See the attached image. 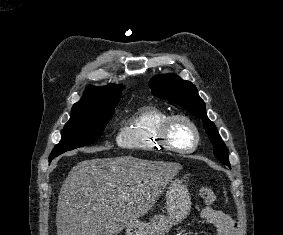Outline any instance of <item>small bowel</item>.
<instances>
[{"mask_svg": "<svg viewBox=\"0 0 283 235\" xmlns=\"http://www.w3.org/2000/svg\"><path fill=\"white\" fill-rule=\"evenodd\" d=\"M201 222L216 227L217 235H235L237 230V223L232 217L210 208L202 210Z\"/></svg>", "mask_w": 283, "mask_h": 235, "instance_id": "small-bowel-1", "label": "small bowel"}]
</instances>
